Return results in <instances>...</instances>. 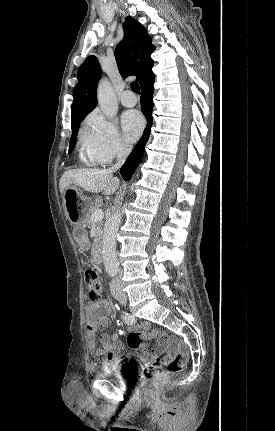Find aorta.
I'll use <instances>...</instances> for the list:
<instances>
[{"mask_svg":"<svg viewBox=\"0 0 275 431\" xmlns=\"http://www.w3.org/2000/svg\"><path fill=\"white\" fill-rule=\"evenodd\" d=\"M97 99L104 115L112 119L118 112V104L110 82L102 79L97 89ZM121 222V210L117 207L106 220L102 235L103 263L106 272L115 276L119 272V262L116 252V236Z\"/></svg>","mask_w":275,"mask_h":431,"instance_id":"1","label":"aorta"}]
</instances>
